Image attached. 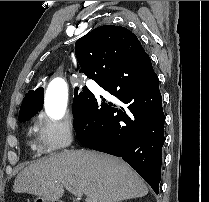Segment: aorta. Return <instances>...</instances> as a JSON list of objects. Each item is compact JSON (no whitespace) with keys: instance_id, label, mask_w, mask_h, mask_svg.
<instances>
[{"instance_id":"aorta-1","label":"aorta","mask_w":209,"mask_h":202,"mask_svg":"<svg viewBox=\"0 0 209 202\" xmlns=\"http://www.w3.org/2000/svg\"><path fill=\"white\" fill-rule=\"evenodd\" d=\"M67 106V84L56 78L48 85L45 93V111L47 115L59 120L63 117Z\"/></svg>"}]
</instances>
